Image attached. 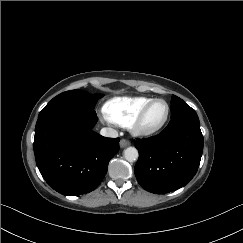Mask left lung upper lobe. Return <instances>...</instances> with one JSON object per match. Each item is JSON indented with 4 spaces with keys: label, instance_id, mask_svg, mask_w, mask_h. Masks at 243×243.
I'll return each instance as SVG.
<instances>
[{
    "label": "left lung upper lobe",
    "instance_id": "1",
    "mask_svg": "<svg viewBox=\"0 0 243 243\" xmlns=\"http://www.w3.org/2000/svg\"><path fill=\"white\" fill-rule=\"evenodd\" d=\"M189 116L196 117L197 114L194 109H192L189 105H187L182 99L179 97L172 95L171 100V120H174L179 117Z\"/></svg>",
    "mask_w": 243,
    "mask_h": 243
}]
</instances>
